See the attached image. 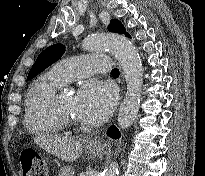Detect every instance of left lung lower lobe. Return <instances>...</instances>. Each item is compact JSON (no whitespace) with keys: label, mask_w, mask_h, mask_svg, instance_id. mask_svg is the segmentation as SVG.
<instances>
[{"label":"left lung lower lobe","mask_w":205,"mask_h":176,"mask_svg":"<svg viewBox=\"0 0 205 176\" xmlns=\"http://www.w3.org/2000/svg\"><path fill=\"white\" fill-rule=\"evenodd\" d=\"M128 37H130V36L128 35ZM107 134H108V136H110L114 139H119V137H120V133H119L118 129L115 126H111L108 129Z\"/></svg>","instance_id":"1"}]
</instances>
